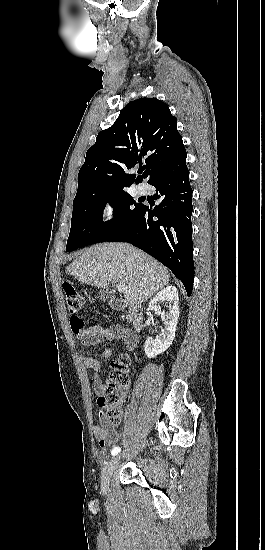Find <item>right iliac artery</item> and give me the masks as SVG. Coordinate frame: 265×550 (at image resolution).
<instances>
[{"mask_svg":"<svg viewBox=\"0 0 265 550\" xmlns=\"http://www.w3.org/2000/svg\"><path fill=\"white\" fill-rule=\"evenodd\" d=\"M120 451H121V448L118 447V446H116V447H114V448L111 450V455H112V456H115V455H117Z\"/></svg>","mask_w":265,"mask_h":550,"instance_id":"obj_1","label":"right iliac artery"}]
</instances>
